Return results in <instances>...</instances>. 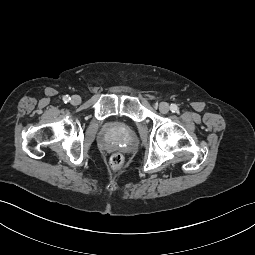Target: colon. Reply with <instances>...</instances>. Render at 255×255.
Segmentation results:
<instances>
[{
  "mask_svg": "<svg viewBox=\"0 0 255 255\" xmlns=\"http://www.w3.org/2000/svg\"><path fill=\"white\" fill-rule=\"evenodd\" d=\"M109 164L113 170H120L124 165V157L120 153H114L109 159Z\"/></svg>",
  "mask_w": 255,
  "mask_h": 255,
  "instance_id": "colon-1",
  "label": "colon"
}]
</instances>
